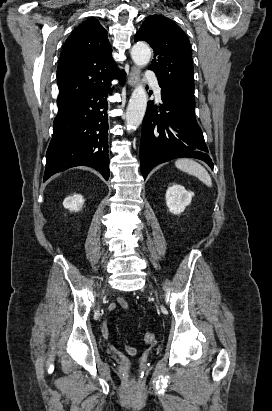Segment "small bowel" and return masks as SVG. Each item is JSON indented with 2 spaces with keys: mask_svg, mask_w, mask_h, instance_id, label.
<instances>
[{
  "mask_svg": "<svg viewBox=\"0 0 272 411\" xmlns=\"http://www.w3.org/2000/svg\"><path fill=\"white\" fill-rule=\"evenodd\" d=\"M117 304H118L119 306H121L123 309H125V310H127V311L129 310V305H128V303H127L124 299L119 298V299L117 300ZM117 304H112V305H110L109 309H110V310L116 309ZM102 334H103L104 338H106V339H107L108 336H109V334H108V328H107V326H106L105 323L102 325ZM125 349H126L127 353H129V354H133V353L135 352L134 348L131 347V346H126Z\"/></svg>",
  "mask_w": 272,
  "mask_h": 411,
  "instance_id": "1",
  "label": "small bowel"
}]
</instances>
